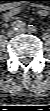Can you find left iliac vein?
Masks as SVG:
<instances>
[{"label":"left iliac vein","mask_w":50,"mask_h":111,"mask_svg":"<svg viewBox=\"0 0 50 111\" xmlns=\"http://www.w3.org/2000/svg\"><path fill=\"white\" fill-rule=\"evenodd\" d=\"M26 32H27V30L25 28L19 29L17 31L18 34H22V33H26Z\"/></svg>","instance_id":"obj_1"}]
</instances>
